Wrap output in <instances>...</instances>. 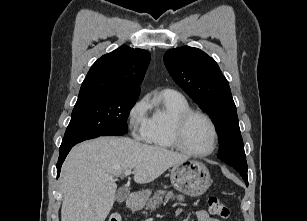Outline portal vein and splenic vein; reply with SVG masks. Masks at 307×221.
<instances>
[{
    "mask_svg": "<svg viewBox=\"0 0 307 221\" xmlns=\"http://www.w3.org/2000/svg\"><path fill=\"white\" fill-rule=\"evenodd\" d=\"M131 173H132L131 170H125V172H124L125 176H129ZM105 178L110 179V178H112V176H105Z\"/></svg>",
    "mask_w": 307,
    "mask_h": 221,
    "instance_id": "obj_1",
    "label": "portal vein and splenic vein"
}]
</instances>
